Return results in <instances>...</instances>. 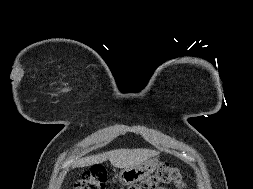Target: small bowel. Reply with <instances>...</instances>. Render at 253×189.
I'll list each match as a JSON object with an SVG mask.
<instances>
[{
    "label": "small bowel",
    "instance_id": "1",
    "mask_svg": "<svg viewBox=\"0 0 253 189\" xmlns=\"http://www.w3.org/2000/svg\"><path fill=\"white\" fill-rule=\"evenodd\" d=\"M159 189H166V188H164V187H160Z\"/></svg>",
    "mask_w": 253,
    "mask_h": 189
}]
</instances>
